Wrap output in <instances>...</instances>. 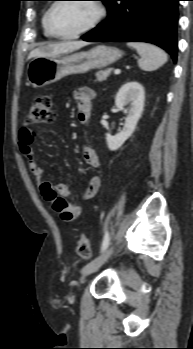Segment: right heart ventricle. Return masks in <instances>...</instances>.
Here are the masks:
<instances>
[{
    "label": "right heart ventricle",
    "mask_w": 193,
    "mask_h": 349,
    "mask_svg": "<svg viewBox=\"0 0 193 349\" xmlns=\"http://www.w3.org/2000/svg\"><path fill=\"white\" fill-rule=\"evenodd\" d=\"M47 10L48 9H46L42 15L41 24H42L43 33H44L45 37H51L50 33L47 30L46 22H45Z\"/></svg>",
    "instance_id": "e07e8e85"
}]
</instances>
